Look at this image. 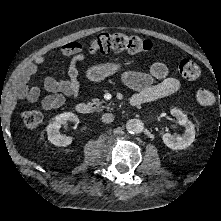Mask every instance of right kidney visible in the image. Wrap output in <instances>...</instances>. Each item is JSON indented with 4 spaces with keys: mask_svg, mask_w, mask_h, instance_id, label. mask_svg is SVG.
Instances as JSON below:
<instances>
[{
    "mask_svg": "<svg viewBox=\"0 0 221 221\" xmlns=\"http://www.w3.org/2000/svg\"><path fill=\"white\" fill-rule=\"evenodd\" d=\"M68 121L78 122V117L71 113L65 112L57 115L52 122L47 126V136L48 140L58 147H65L72 143V139L70 137H66L60 133L61 125L66 124Z\"/></svg>",
    "mask_w": 221,
    "mask_h": 221,
    "instance_id": "1",
    "label": "right kidney"
}]
</instances>
